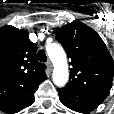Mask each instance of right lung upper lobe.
<instances>
[{
    "label": "right lung upper lobe",
    "instance_id": "cb5924a9",
    "mask_svg": "<svg viewBox=\"0 0 114 114\" xmlns=\"http://www.w3.org/2000/svg\"><path fill=\"white\" fill-rule=\"evenodd\" d=\"M36 50L28 31L0 28V106L37 90L46 79V67L38 62Z\"/></svg>",
    "mask_w": 114,
    "mask_h": 114
}]
</instances>
